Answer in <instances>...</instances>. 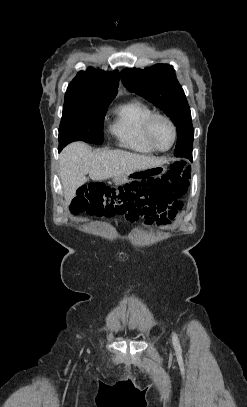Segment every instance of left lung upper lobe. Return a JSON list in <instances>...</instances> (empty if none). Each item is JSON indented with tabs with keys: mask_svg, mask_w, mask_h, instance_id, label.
Returning a JSON list of instances; mask_svg holds the SVG:
<instances>
[{
	"mask_svg": "<svg viewBox=\"0 0 247 407\" xmlns=\"http://www.w3.org/2000/svg\"><path fill=\"white\" fill-rule=\"evenodd\" d=\"M124 86L160 108L177 127L175 156L192 159L194 129L190 108L172 66L156 64L150 68L124 69Z\"/></svg>",
	"mask_w": 247,
	"mask_h": 407,
	"instance_id": "left-lung-upper-lobe-1",
	"label": "left lung upper lobe"
}]
</instances>
